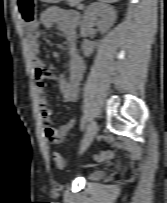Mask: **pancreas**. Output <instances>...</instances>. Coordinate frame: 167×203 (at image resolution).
I'll list each match as a JSON object with an SVG mask.
<instances>
[{
	"mask_svg": "<svg viewBox=\"0 0 167 203\" xmlns=\"http://www.w3.org/2000/svg\"><path fill=\"white\" fill-rule=\"evenodd\" d=\"M82 0H67V3L71 7H77L78 9H82L83 7L79 4Z\"/></svg>",
	"mask_w": 167,
	"mask_h": 203,
	"instance_id": "pancreas-1",
	"label": "pancreas"
}]
</instances>
